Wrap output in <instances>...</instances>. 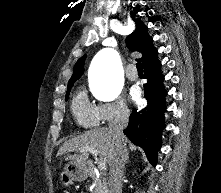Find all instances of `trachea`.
<instances>
[{
    "instance_id": "obj_1",
    "label": "trachea",
    "mask_w": 221,
    "mask_h": 193,
    "mask_svg": "<svg viewBox=\"0 0 221 193\" xmlns=\"http://www.w3.org/2000/svg\"><path fill=\"white\" fill-rule=\"evenodd\" d=\"M136 67H137L138 73H143V67H142V64L140 62H138L136 64Z\"/></svg>"
}]
</instances>
